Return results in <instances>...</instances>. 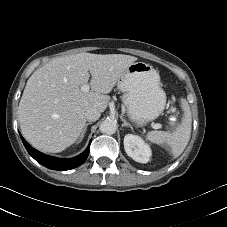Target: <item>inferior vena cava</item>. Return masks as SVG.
<instances>
[{"label": "inferior vena cava", "instance_id": "obj_1", "mask_svg": "<svg viewBox=\"0 0 227 227\" xmlns=\"http://www.w3.org/2000/svg\"><path fill=\"white\" fill-rule=\"evenodd\" d=\"M100 115H101L100 111L97 110L96 108H89L85 112V118L90 122L98 120L100 118Z\"/></svg>", "mask_w": 227, "mask_h": 227}]
</instances>
